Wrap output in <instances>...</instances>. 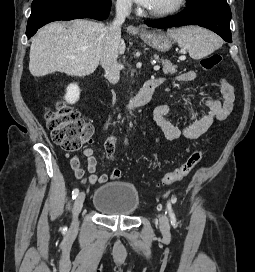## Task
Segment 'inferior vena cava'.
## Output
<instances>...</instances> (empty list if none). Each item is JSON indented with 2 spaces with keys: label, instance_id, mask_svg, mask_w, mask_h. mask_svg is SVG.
<instances>
[{
  "label": "inferior vena cava",
  "instance_id": "inferior-vena-cava-1",
  "mask_svg": "<svg viewBox=\"0 0 255 272\" xmlns=\"http://www.w3.org/2000/svg\"><path fill=\"white\" fill-rule=\"evenodd\" d=\"M131 12L129 0H118L116 3V16L107 27L105 45L101 54V65L105 70V76L112 84L120 79L121 65L117 62L118 49L121 41V25Z\"/></svg>",
  "mask_w": 255,
  "mask_h": 272
}]
</instances>
